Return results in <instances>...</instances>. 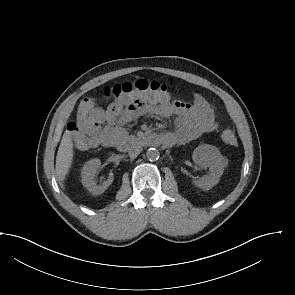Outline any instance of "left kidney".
<instances>
[{
    "instance_id": "obj_1",
    "label": "left kidney",
    "mask_w": 295,
    "mask_h": 295,
    "mask_svg": "<svg viewBox=\"0 0 295 295\" xmlns=\"http://www.w3.org/2000/svg\"><path fill=\"white\" fill-rule=\"evenodd\" d=\"M192 158L195 164L204 168L208 167L210 170L208 175L194 180V185L203 190H209L217 185L227 164L219 149L208 144L200 145L193 151Z\"/></svg>"
}]
</instances>
